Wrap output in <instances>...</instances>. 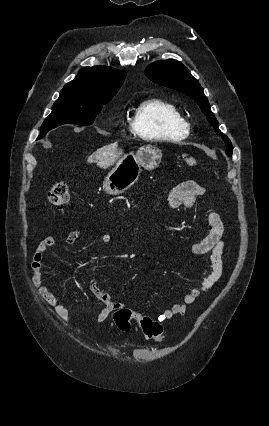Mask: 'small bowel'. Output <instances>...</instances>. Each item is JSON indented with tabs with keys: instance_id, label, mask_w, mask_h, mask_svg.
Instances as JSON below:
<instances>
[{
	"instance_id": "small-bowel-1",
	"label": "small bowel",
	"mask_w": 269,
	"mask_h": 426,
	"mask_svg": "<svg viewBox=\"0 0 269 426\" xmlns=\"http://www.w3.org/2000/svg\"><path fill=\"white\" fill-rule=\"evenodd\" d=\"M204 193V188L197 182L192 180L183 181L170 191L167 196V204L172 210L180 207L194 209L198 198ZM206 222L209 226V232L204 238L191 245V252L197 257L209 254V264L203 265L198 283L184 296L183 300L173 304L157 316L159 321L164 322L174 316L185 314L188 306L192 305L201 294L210 290L222 276L225 247L222 238L225 226L220 216L214 211H209L206 214ZM83 232L84 230L82 229L72 231L66 239L67 244L71 245L75 243ZM100 239L102 242L107 243L111 241L112 235L109 232H104ZM54 245V238L46 237L41 240L35 249L31 261V268L33 270L32 283L39 295L53 308L55 314L65 316L67 309L61 303L60 297L54 294L49 286L42 283L43 258L46 251ZM90 288L95 297L104 305L97 317L98 322L105 321L113 311L123 306L122 303L112 300L111 296L100 286L97 280L91 282ZM141 317V314L135 313L134 319L138 321Z\"/></svg>"
}]
</instances>
